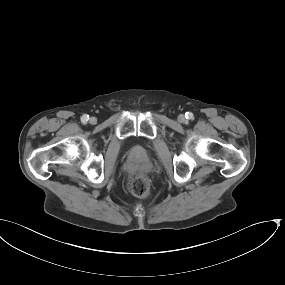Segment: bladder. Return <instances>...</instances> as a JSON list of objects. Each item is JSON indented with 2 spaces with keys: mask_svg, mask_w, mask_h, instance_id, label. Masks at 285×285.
<instances>
[{
  "mask_svg": "<svg viewBox=\"0 0 285 285\" xmlns=\"http://www.w3.org/2000/svg\"><path fill=\"white\" fill-rule=\"evenodd\" d=\"M134 150H135L136 152H142V151H144V148L141 147V146H135V147H134Z\"/></svg>",
  "mask_w": 285,
  "mask_h": 285,
  "instance_id": "1",
  "label": "bladder"
}]
</instances>
